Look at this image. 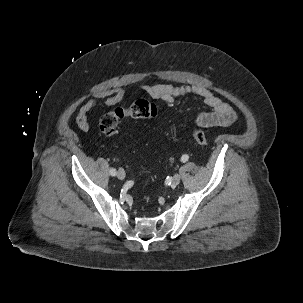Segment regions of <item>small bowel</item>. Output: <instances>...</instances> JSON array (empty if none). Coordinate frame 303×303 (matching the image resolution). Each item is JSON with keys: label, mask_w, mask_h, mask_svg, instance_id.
Returning a JSON list of instances; mask_svg holds the SVG:
<instances>
[{"label": "small bowel", "mask_w": 303, "mask_h": 303, "mask_svg": "<svg viewBox=\"0 0 303 303\" xmlns=\"http://www.w3.org/2000/svg\"><path fill=\"white\" fill-rule=\"evenodd\" d=\"M144 91L153 99L162 100L169 106L178 104V99L188 95L200 97L209 107L208 111L199 113L195 122L201 127H228L232 125L237 115L232 107L203 86H173L169 84L145 85ZM125 97V89L115 87L98 92L92 99L86 101L79 109L76 124L81 131H88V115L100 106H113Z\"/></svg>", "instance_id": "obj_1"}]
</instances>
